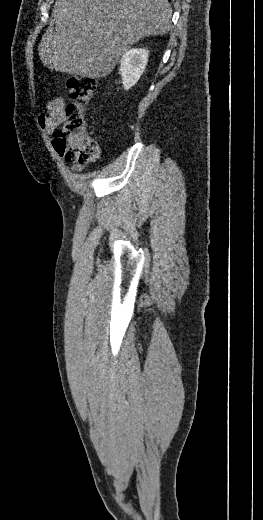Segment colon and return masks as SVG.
<instances>
[{"mask_svg":"<svg viewBox=\"0 0 263 520\" xmlns=\"http://www.w3.org/2000/svg\"><path fill=\"white\" fill-rule=\"evenodd\" d=\"M96 86L95 79L90 77H71L67 81L71 102L65 107L64 120L54 133L53 145L69 162L86 163L98 156V145L86 129V107Z\"/></svg>","mask_w":263,"mask_h":520,"instance_id":"1","label":"colon"}]
</instances>
